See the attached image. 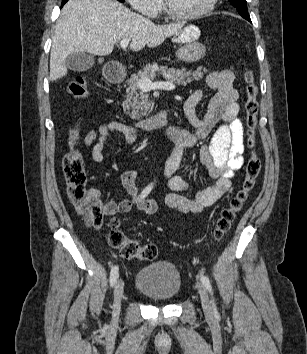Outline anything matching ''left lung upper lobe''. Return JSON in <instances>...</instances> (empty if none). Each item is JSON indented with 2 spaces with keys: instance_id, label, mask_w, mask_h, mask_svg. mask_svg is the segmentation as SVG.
Here are the masks:
<instances>
[{
  "instance_id": "5c2ea615",
  "label": "left lung upper lobe",
  "mask_w": 307,
  "mask_h": 354,
  "mask_svg": "<svg viewBox=\"0 0 307 354\" xmlns=\"http://www.w3.org/2000/svg\"><path fill=\"white\" fill-rule=\"evenodd\" d=\"M229 1L233 4V6L237 9L239 14L243 18L250 20V16H249L248 10H247L246 0H229Z\"/></svg>"
}]
</instances>
